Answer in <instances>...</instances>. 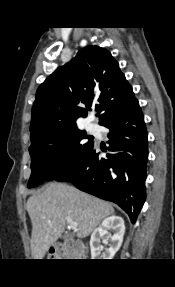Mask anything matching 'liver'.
<instances>
[{
	"instance_id": "obj_1",
	"label": "liver",
	"mask_w": 175,
	"mask_h": 287,
	"mask_svg": "<svg viewBox=\"0 0 175 287\" xmlns=\"http://www.w3.org/2000/svg\"><path fill=\"white\" fill-rule=\"evenodd\" d=\"M26 209L32 222L31 253L33 259H43L68 223L75 221L76 236L85 238L100 222L114 214L108 202L81 192L64 183L51 182L40 193L33 194Z\"/></svg>"
}]
</instances>
